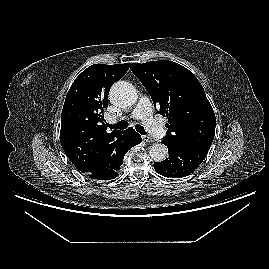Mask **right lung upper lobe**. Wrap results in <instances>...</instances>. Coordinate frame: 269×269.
<instances>
[{"mask_svg": "<svg viewBox=\"0 0 269 269\" xmlns=\"http://www.w3.org/2000/svg\"><path fill=\"white\" fill-rule=\"evenodd\" d=\"M129 67L130 63L91 65L74 80L66 95L60 141L66 156L82 173L103 171L118 153L122 131L108 133L103 112L112 84Z\"/></svg>", "mask_w": 269, "mask_h": 269, "instance_id": "cb5924a9", "label": "right lung upper lobe"}]
</instances>
